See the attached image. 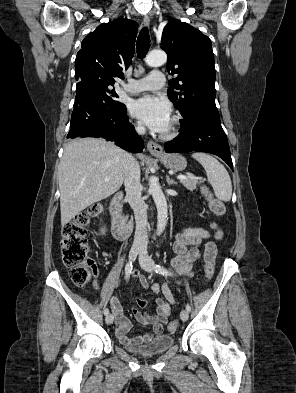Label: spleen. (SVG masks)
<instances>
[{"instance_id": "1", "label": "spleen", "mask_w": 296, "mask_h": 393, "mask_svg": "<svg viewBox=\"0 0 296 393\" xmlns=\"http://www.w3.org/2000/svg\"><path fill=\"white\" fill-rule=\"evenodd\" d=\"M192 157L205 169L208 182L213 187L215 196L221 201H230L232 183L225 167L216 158L206 153H193Z\"/></svg>"}]
</instances>
